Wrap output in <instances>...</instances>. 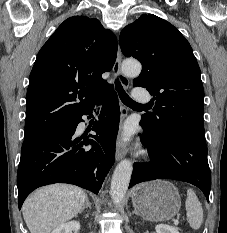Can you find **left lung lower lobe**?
Here are the masks:
<instances>
[{"instance_id": "obj_1", "label": "left lung lower lobe", "mask_w": 227, "mask_h": 233, "mask_svg": "<svg viewBox=\"0 0 227 233\" xmlns=\"http://www.w3.org/2000/svg\"><path fill=\"white\" fill-rule=\"evenodd\" d=\"M140 139L149 150L151 162L134 164L129 188L155 179L179 180L200 188L209 202L211 172L206 143L172 132L155 138L145 130Z\"/></svg>"}]
</instances>
